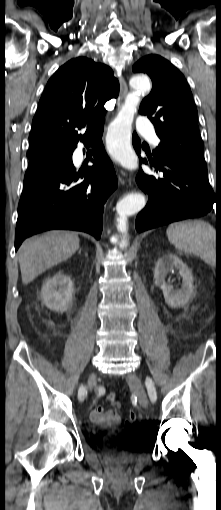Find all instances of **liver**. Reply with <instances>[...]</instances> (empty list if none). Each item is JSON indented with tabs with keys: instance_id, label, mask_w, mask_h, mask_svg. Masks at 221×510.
Wrapping results in <instances>:
<instances>
[{
	"instance_id": "1",
	"label": "liver",
	"mask_w": 221,
	"mask_h": 510,
	"mask_svg": "<svg viewBox=\"0 0 221 510\" xmlns=\"http://www.w3.org/2000/svg\"><path fill=\"white\" fill-rule=\"evenodd\" d=\"M78 249L79 237L66 231H50L25 241L18 252L22 283H30L45 270L70 258Z\"/></svg>"
}]
</instances>
